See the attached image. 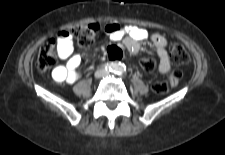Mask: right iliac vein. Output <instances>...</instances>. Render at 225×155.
<instances>
[{
  "label": "right iliac vein",
  "mask_w": 225,
  "mask_h": 155,
  "mask_svg": "<svg viewBox=\"0 0 225 155\" xmlns=\"http://www.w3.org/2000/svg\"><path fill=\"white\" fill-rule=\"evenodd\" d=\"M103 76V71H97L96 73H95V78H100V77H102Z\"/></svg>",
  "instance_id": "1"
}]
</instances>
